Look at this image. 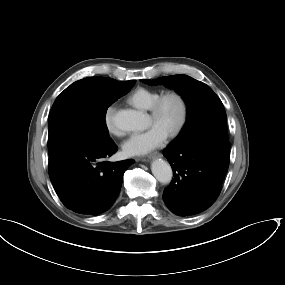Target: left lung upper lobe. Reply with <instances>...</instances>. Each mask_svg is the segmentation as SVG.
Returning a JSON list of instances; mask_svg holds the SVG:
<instances>
[{
	"instance_id": "left-lung-upper-lobe-1",
	"label": "left lung upper lobe",
	"mask_w": 285,
	"mask_h": 285,
	"mask_svg": "<svg viewBox=\"0 0 285 285\" xmlns=\"http://www.w3.org/2000/svg\"><path fill=\"white\" fill-rule=\"evenodd\" d=\"M149 85L162 84L174 89L185 100L187 121L175 140L167 148H180L203 139L229 141L224 106L213 90L203 82L187 75H172L149 80Z\"/></svg>"
}]
</instances>
